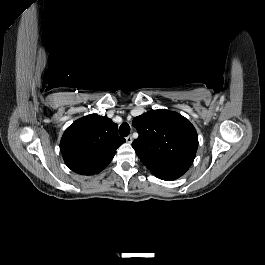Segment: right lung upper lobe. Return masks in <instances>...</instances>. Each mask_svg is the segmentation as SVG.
Masks as SVG:
<instances>
[{
    "mask_svg": "<svg viewBox=\"0 0 265 265\" xmlns=\"http://www.w3.org/2000/svg\"><path fill=\"white\" fill-rule=\"evenodd\" d=\"M118 125L107 116L90 114L76 120L64 132L60 150L66 165L81 175H93L106 167L125 142Z\"/></svg>",
    "mask_w": 265,
    "mask_h": 265,
    "instance_id": "cb5924a9",
    "label": "right lung upper lobe"
}]
</instances>
